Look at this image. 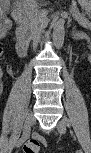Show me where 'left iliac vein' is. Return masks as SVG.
I'll return each mask as SVG.
<instances>
[{"label":"left iliac vein","instance_id":"left-iliac-vein-1","mask_svg":"<svg viewBox=\"0 0 91 153\" xmlns=\"http://www.w3.org/2000/svg\"><path fill=\"white\" fill-rule=\"evenodd\" d=\"M56 128L58 130V132L60 134H65L66 133V123H65V120L62 119L60 121H58L57 125H56Z\"/></svg>","mask_w":91,"mask_h":153}]
</instances>
